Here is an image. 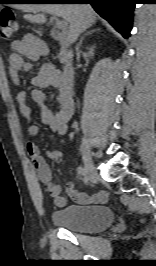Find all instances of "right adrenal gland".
I'll use <instances>...</instances> for the list:
<instances>
[{"label":"right adrenal gland","instance_id":"right-adrenal-gland-1","mask_svg":"<svg viewBox=\"0 0 156 266\" xmlns=\"http://www.w3.org/2000/svg\"><path fill=\"white\" fill-rule=\"evenodd\" d=\"M99 30H100V29H93V30H91V31H87L86 33H84V34L82 35L81 39H80L79 46L82 45V42H83V39H84L85 36H87V35L93 33L94 31H99Z\"/></svg>","mask_w":156,"mask_h":266}]
</instances>
